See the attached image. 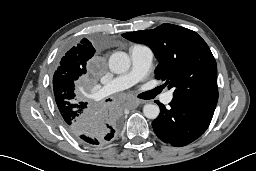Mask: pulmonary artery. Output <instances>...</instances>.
<instances>
[{
    "mask_svg": "<svg viewBox=\"0 0 256 171\" xmlns=\"http://www.w3.org/2000/svg\"><path fill=\"white\" fill-rule=\"evenodd\" d=\"M129 54L132 62L131 69L107 83L102 90L103 96L130 88L148 73L154 56L151 48L137 44L130 48ZM171 100L172 92H167L163 101L168 104Z\"/></svg>",
    "mask_w": 256,
    "mask_h": 171,
    "instance_id": "pulmonary-artery-1",
    "label": "pulmonary artery"
}]
</instances>
